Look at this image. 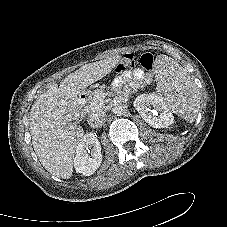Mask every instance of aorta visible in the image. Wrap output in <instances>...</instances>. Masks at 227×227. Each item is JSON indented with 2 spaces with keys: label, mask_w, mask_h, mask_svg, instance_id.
<instances>
[{
  "label": "aorta",
  "mask_w": 227,
  "mask_h": 227,
  "mask_svg": "<svg viewBox=\"0 0 227 227\" xmlns=\"http://www.w3.org/2000/svg\"><path fill=\"white\" fill-rule=\"evenodd\" d=\"M125 109L126 107L124 106V104L117 103L113 106L112 111L115 115L121 116L125 112Z\"/></svg>",
  "instance_id": "obj_1"
}]
</instances>
